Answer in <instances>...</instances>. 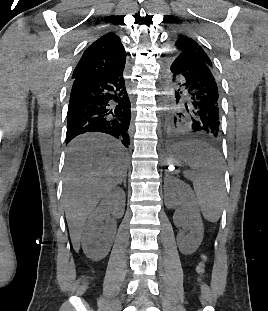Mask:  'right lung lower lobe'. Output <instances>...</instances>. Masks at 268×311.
I'll use <instances>...</instances> for the list:
<instances>
[{"label":"right lung lower lobe","mask_w":268,"mask_h":311,"mask_svg":"<svg viewBox=\"0 0 268 311\" xmlns=\"http://www.w3.org/2000/svg\"><path fill=\"white\" fill-rule=\"evenodd\" d=\"M124 69L74 79L67 113L66 144L80 134L101 132L128 148L131 107Z\"/></svg>","instance_id":"98d812e1"}]
</instances>
